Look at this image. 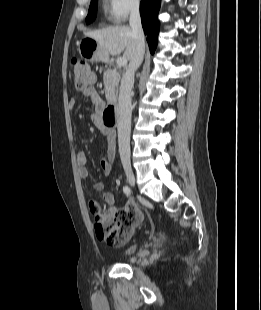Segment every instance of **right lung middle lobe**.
<instances>
[{
  "label": "right lung middle lobe",
  "instance_id": "obj_1",
  "mask_svg": "<svg viewBox=\"0 0 261 310\" xmlns=\"http://www.w3.org/2000/svg\"><path fill=\"white\" fill-rule=\"evenodd\" d=\"M97 3H98V0H91L89 12H88V15L86 17V23L87 24H89L95 20V17L97 14Z\"/></svg>",
  "mask_w": 261,
  "mask_h": 310
}]
</instances>
